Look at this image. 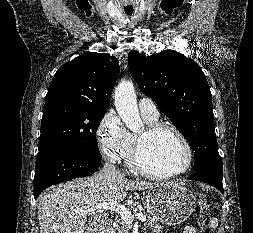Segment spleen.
I'll return each instance as SVG.
<instances>
[{
	"label": "spleen",
	"mask_w": 253,
	"mask_h": 233,
	"mask_svg": "<svg viewBox=\"0 0 253 233\" xmlns=\"http://www.w3.org/2000/svg\"><path fill=\"white\" fill-rule=\"evenodd\" d=\"M210 224H211V227L212 228H217L218 227V219L217 218H213L211 221H210Z\"/></svg>",
	"instance_id": "spleen-1"
}]
</instances>
